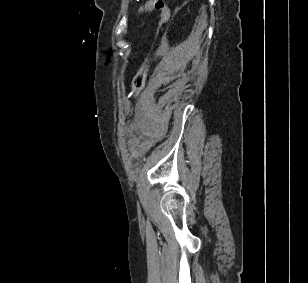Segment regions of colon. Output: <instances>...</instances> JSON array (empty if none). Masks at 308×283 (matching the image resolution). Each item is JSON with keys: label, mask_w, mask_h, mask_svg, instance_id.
I'll use <instances>...</instances> for the list:
<instances>
[{"label": "colon", "mask_w": 308, "mask_h": 283, "mask_svg": "<svg viewBox=\"0 0 308 283\" xmlns=\"http://www.w3.org/2000/svg\"><path fill=\"white\" fill-rule=\"evenodd\" d=\"M152 11L159 13L160 26H165L170 18V11L165 2L163 0H148L140 7V9L138 10V15ZM148 70L149 63L148 61H146L135 74L131 86V94L133 96L138 95L143 89L146 83Z\"/></svg>", "instance_id": "colon-1"}]
</instances>
